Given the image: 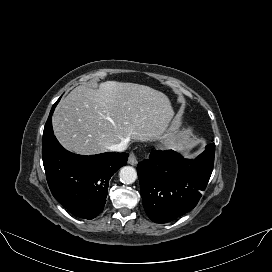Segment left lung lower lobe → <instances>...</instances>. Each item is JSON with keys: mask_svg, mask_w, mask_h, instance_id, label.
<instances>
[{"mask_svg": "<svg viewBox=\"0 0 272 272\" xmlns=\"http://www.w3.org/2000/svg\"><path fill=\"white\" fill-rule=\"evenodd\" d=\"M214 154L211 143L194 160L174 151H153L138 163L143 206L153 222H170L197 205L210 179Z\"/></svg>", "mask_w": 272, "mask_h": 272, "instance_id": "left-lung-lower-lobe-1", "label": "left lung lower lobe"}]
</instances>
